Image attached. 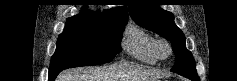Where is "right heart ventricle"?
Instances as JSON below:
<instances>
[{
    "instance_id": "obj_1",
    "label": "right heart ventricle",
    "mask_w": 237,
    "mask_h": 81,
    "mask_svg": "<svg viewBox=\"0 0 237 81\" xmlns=\"http://www.w3.org/2000/svg\"><path fill=\"white\" fill-rule=\"evenodd\" d=\"M155 45L156 39L153 35L134 25L127 29L122 41L126 54L147 65H156L159 62Z\"/></svg>"
}]
</instances>
